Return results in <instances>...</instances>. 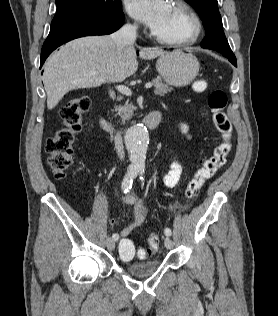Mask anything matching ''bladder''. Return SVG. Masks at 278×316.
<instances>
[{"label":"bladder","instance_id":"1","mask_svg":"<svg viewBox=\"0 0 278 316\" xmlns=\"http://www.w3.org/2000/svg\"><path fill=\"white\" fill-rule=\"evenodd\" d=\"M159 265V260L151 259L144 262L127 263L125 268L135 277H147L153 274L158 269Z\"/></svg>","mask_w":278,"mask_h":316}]
</instances>
